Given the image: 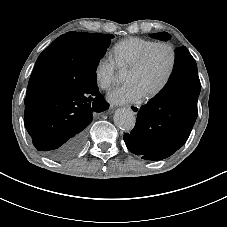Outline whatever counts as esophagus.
I'll use <instances>...</instances> for the list:
<instances>
[{
    "instance_id": "obj_1",
    "label": "esophagus",
    "mask_w": 227,
    "mask_h": 227,
    "mask_svg": "<svg viewBox=\"0 0 227 227\" xmlns=\"http://www.w3.org/2000/svg\"><path fill=\"white\" fill-rule=\"evenodd\" d=\"M133 114H137L140 110V106L138 105H127L126 106Z\"/></svg>"
}]
</instances>
